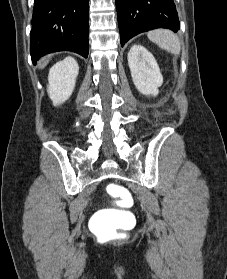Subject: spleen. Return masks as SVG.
<instances>
[{
  "instance_id": "spleen-1",
  "label": "spleen",
  "mask_w": 227,
  "mask_h": 279,
  "mask_svg": "<svg viewBox=\"0 0 227 279\" xmlns=\"http://www.w3.org/2000/svg\"><path fill=\"white\" fill-rule=\"evenodd\" d=\"M148 38L160 48L171 52L174 55L180 53V42L178 37L166 29H157L147 34Z\"/></svg>"
}]
</instances>
